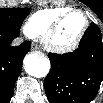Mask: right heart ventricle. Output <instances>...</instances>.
Instances as JSON below:
<instances>
[{
  "mask_svg": "<svg viewBox=\"0 0 103 103\" xmlns=\"http://www.w3.org/2000/svg\"><path fill=\"white\" fill-rule=\"evenodd\" d=\"M68 10H70L68 7H51L36 11L27 19L25 33L31 38L42 36L51 22Z\"/></svg>",
  "mask_w": 103,
  "mask_h": 103,
  "instance_id": "obj_1",
  "label": "right heart ventricle"
}]
</instances>
